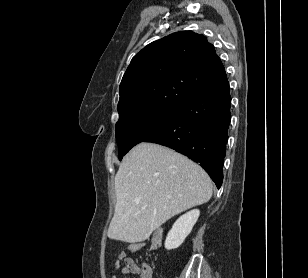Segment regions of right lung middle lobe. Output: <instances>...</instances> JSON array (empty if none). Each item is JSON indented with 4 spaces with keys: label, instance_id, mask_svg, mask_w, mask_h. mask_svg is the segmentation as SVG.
<instances>
[{
    "label": "right lung middle lobe",
    "instance_id": "right-lung-middle-lobe-1",
    "mask_svg": "<svg viewBox=\"0 0 308 278\" xmlns=\"http://www.w3.org/2000/svg\"><path fill=\"white\" fill-rule=\"evenodd\" d=\"M178 114V108H151L133 113L115 126L119 160L136 144L159 131Z\"/></svg>",
    "mask_w": 308,
    "mask_h": 278
}]
</instances>
